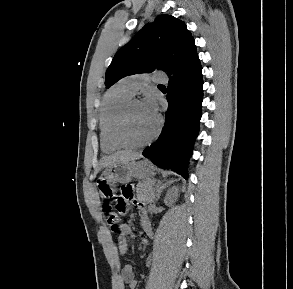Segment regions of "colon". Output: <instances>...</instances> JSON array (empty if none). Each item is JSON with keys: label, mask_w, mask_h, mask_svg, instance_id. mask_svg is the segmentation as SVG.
Returning a JSON list of instances; mask_svg holds the SVG:
<instances>
[{"label": "colon", "mask_w": 293, "mask_h": 289, "mask_svg": "<svg viewBox=\"0 0 293 289\" xmlns=\"http://www.w3.org/2000/svg\"><path fill=\"white\" fill-rule=\"evenodd\" d=\"M131 208L138 209L133 202V187L131 185H124L115 204H106L103 206V213L112 231H117L120 228L119 214H127Z\"/></svg>", "instance_id": "5ec220e1"}]
</instances>
